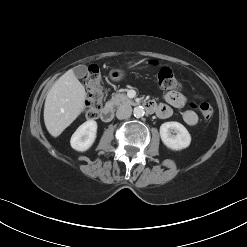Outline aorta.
<instances>
[{"label": "aorta", "instance_id": "1", "mask_svg": "<svg viewBox=\"0 0 247 247\" xmlns=\"http://www.w3.org/2000/svg\"><path fill=\"white\" fill-rule=\"evenodd\" d=\"M133 113H134V116L136 118H140V117L144 116L145 111H144V108L142 106H137L134 108Z\"/></svg>", "mask_w": 247, "mask_h": 247}]
</instances>
